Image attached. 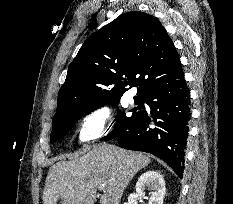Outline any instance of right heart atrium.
<instances>
[{
  "mask_svg": "<svg viewBox=\"0 0 233 204\" xmlns=\"http://www.w3.org/2000/svg\"><path fill=\"white\" fill-rule=\"evenodd\" d=\"M114 127L112 110L105 105L89 110L80 120L77 137L80 142H92L107 136Z\"/></svg>",
  "mask_w": 233,
  "mask_h": 204,
  "instance_id": "1",
  "label": "right heart atrium"
}]
</instances>
